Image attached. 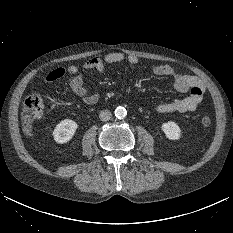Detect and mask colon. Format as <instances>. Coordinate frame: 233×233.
I'll use <instances>...</instances> for the list:
<instances>
[{
	"label": "colon",
	"mask_w": 233,
	"mask_h": 233,
	"mask_svg": "<svg viewBox=\"0 0 233 233\" xmlns=\"http://www.w3.org/2000/svg\"><path fill=\"white\" fill-rule=\"evenodd\" d=\"M43 109V99L39 94H31L27 96V98L24 101L23 109L21 112L22 125L26 133H32L33 124L36 120L42 117ZM211 123L212 121L209 117H203L201 119V124L204 127L210 126Z\"/></svg>",
	"instance_id": "obj_1"
}]
</instances>
